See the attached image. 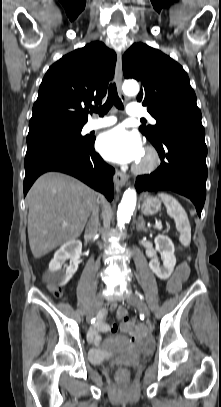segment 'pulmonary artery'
<instances>
[{"label": "pulmonary artery", "instance_id": "obj_1", "mask_svg": "<svg viewBox=\"0 0 221 407\" xmlns=\"http://www.w3.org/2000/svg\"><path fill=\"white\" fill-rule=\"evenodd\" d=\"M126 111H127V114L129 116H132V117H148L149 120L152 123L156 122L155 119L150 117L148 115V113L146 112V110L141 105H139L137 103L129 104ZM116 121H117V119L115 117L97 118V119L89 121L86 124L85 129H86V131L102 129V128H105V127L112 126L113 124L116 123Z\"/></svg>", "mask_w": 221, "mask_h": 407}]
</instances>
